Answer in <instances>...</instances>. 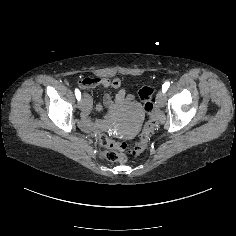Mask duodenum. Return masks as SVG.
<instances>
[{
  "label": "duodenum",
  "mask_w": 236,
  "mask_h": 236,
  "mask_svg": "<svg viewBox=\"0 0 236 236\" xmlns=\"http://www.w3.org/2000/svg\"><path fill=\"white\" fill-rule=\"evenodd\" d=\"M127 102V99L124 98V93H119L115 100L113 101L111 99V97L109 95H107L104 99V103L106 106H108L112 111L118 109L121 105L125 104ZM102 107V104H99ZM91 107V102L88 99L86 102V109ZM81 124L83 125V127L87 130H95L97 128H99L103 122L99 121V122H93L91 121L88 117L83 116L81 119Z\"/></svg>",
  "instance_id": "1"
}]
</instances>
